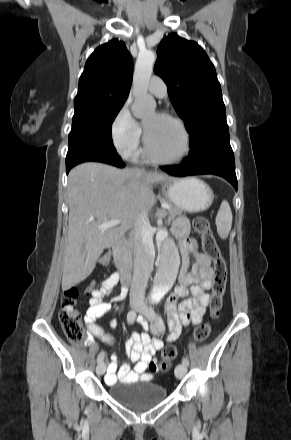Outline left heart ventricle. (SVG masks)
<instances>
[{
	"label": "left heart ventricle",
	"mask_w": 291,
	"mask_h": 440,
	"mask_svg": "<svg viewBox=\"0 0 291 440\" xmlns=\"http://www.w3.org/2000/svg\"><path fill=\"white\" fill-rule=\"evenodd\" d=\"M149 141L155 151L165 159H177L185 150L184 135L172 120L155 112L143 119Z\"/></svg>",
	"instance_id": "1"
}]
</instances>
